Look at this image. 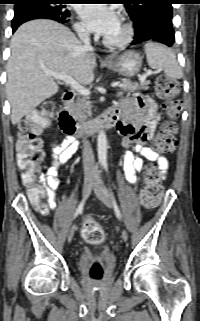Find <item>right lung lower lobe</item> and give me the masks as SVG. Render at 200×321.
<instances>
[{"label":"right lung lower lobe","mask_w":200,"mask_h":321,"mask_svg":"<svg viewBox=\"0 0 200 321\" xmlns=\"http://www.w3.org/2000/svg\"><path fill=\"white\" fill-rule=\"evenodd\" d=\"M41 18L55 20L59 23H66L69 21V18L64 16H59L49 10L27 8V9L15 11L14 18L12 20V30L13 32H15V30L22 23L27 22L29 20L41 19Z\"/></svg>","instance_id":"right-lung-lower-lobe-1"}]
</instances>
